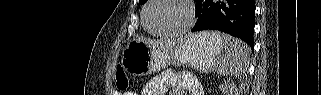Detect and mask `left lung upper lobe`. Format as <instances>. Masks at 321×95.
Wrapping results in <instances>:
<instances>
[{
	"label": "left lung upper lobe",
	"mask_w": 321,
	"mask_h": 95,
	"mask_svg": "<svg viewBox=\"0 0 321 95\" xmlns=\"http://www.w3.org/2000/svg\"><path fill=\"white\" fill-rule=\"evenodd\" d=\"M147 2V0H139V3L140 4H144V3H146Z\"/></svg>",
	"instance_id": "1"
}]
</instances>
